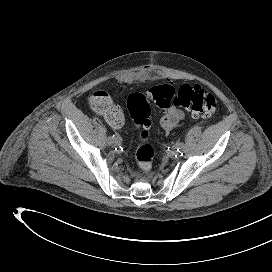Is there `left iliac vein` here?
<instances>
[{
    "label": "left iliac vein",
    "instance_id": "obj_1",
    "mask_svg": "<svg viewBox=\"0 0 272 272\" xmlns=\"http://www.w3.org/2000/svg\"><path fill=\"white\" fill-rule=\"evenodd\" d=\"M176 154H177L176 150H172V151L169 152V155L172 156V157L175 156Z\"/></svg>",
    "mask_w": 272,
    "mask_h": 272
}]
</instances>
